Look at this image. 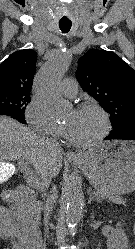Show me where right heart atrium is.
I'll return each instance as SVG.
<instances>
[{"mask_svg": "<svg viewBox=\"0 0 135 249\" xmlns=\"http://www.w3.org/2000/svg\"><path fill=\"white\" fill-rule=\"evenodd\" d=\"M25 119L28 125L41 135L59 138L64 133L63 127L51 119L43 104L36 97H33L27 105Z\"/></svg>", "mask_w": 135, "mask_h": 249, "instance_id": "obj_1", "label": "right heart atrium"}]
</instances>
